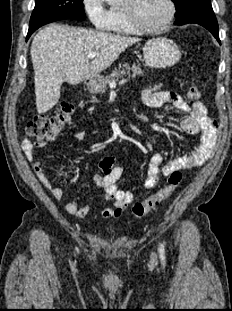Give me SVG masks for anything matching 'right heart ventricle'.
<instances>
[{"label": "right heart ventricle", "instance_id": "e07e8e85", "mask_svg": "<svg viewBox=\"0 0 232 311\" xmlns=\"http://www.w3.org/2000/svg\"><path fill=\"white\" fill-rule=\"evenodd\" d=\"M111 12L113 16V21L109 28L111 32L123 35H131L135 33L126 19L123 7L113 6L111 7Z\"/></svg>", "mask_w": 232, "mask_h": 311}]
</instances>
